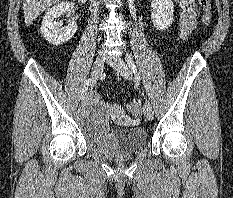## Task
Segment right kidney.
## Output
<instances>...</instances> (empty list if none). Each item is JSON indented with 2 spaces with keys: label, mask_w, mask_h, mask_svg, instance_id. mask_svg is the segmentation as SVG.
I'll return each mask as SVG.
<instances>
[{
  "label": "right kidney",
  "mask_w": 233,
  "mask_h": 198,
  "mask_svg": "<svg viewBox=\"0 0 233 198\" xmlns=\"http://www.w3.org/2000/svg\"><path fill=\"white\" fill-rule=\"evenodd\" d=\"M74 6L73 2H61L49 9L43 18L41 24V33L43 37L53 45H60L70 40L77 31V23L69 21L65 28L63 23L57 22L56 19L65 14Z\"/></svg>",
  "instance_id": "ca27d5eb"
}]
</instances>
